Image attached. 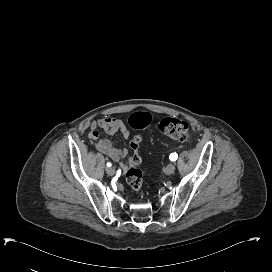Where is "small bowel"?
Wrapping results in <instances>:
<instances>
[{"label":"small bowel","instance_id":"obj_1","mask_svg":"<svg viewBox=\"0 0 272 272\" xmlns=\"http://www.w3.org/2000/svg\"><path fill=\"white\" fill-rule=\"evenodd\" d=\"M90 129L91 131L88 137L94 142L95 148L111 158L114 162L120 163L122 171H126V169L132 165L138 166L141 163L139 145L130 146V151H127L117 148L110 140L99 137L98 130L102 129L109 135L120 132L124 138H128L130 131L121 119L115 117H103L93 121ZM127 156L128 159L125 161V157Z\"/></svg>","mask_w":272,"mask_h":272}]
</instances>
